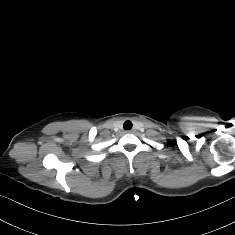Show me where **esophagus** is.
<instances>
[{"label": "esophagus", "mask_w": 235, "mask_h": 235, "mask_svg": "<svg viewBox=\"0 0 235 235\" xmlns=\"http://www.w3.org/2000/svg\"><path fill=\"white\" fill-rule=\"evenodd\" d=\"M134 130L132 129V130H129V131H127V132H129V133H132Z\"/></svg>", "instance_id": "34e87169"}]
</instances>
